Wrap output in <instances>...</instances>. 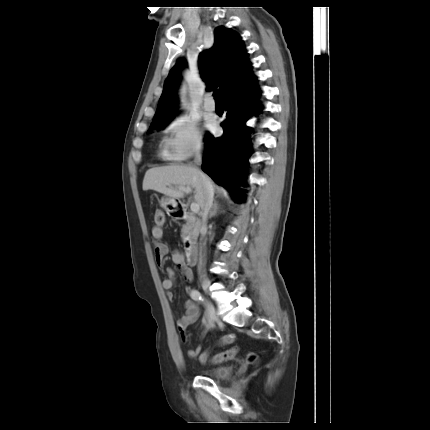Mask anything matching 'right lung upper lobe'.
<instances>
[{
  "instance_id": "cb5924a9",
  "label": "right lung upper lobe",
  "mask_w": 430,
  "mask_h": 430,
  "mask_svg": "<svg viewBox=\"0 0 430 430\" xmlns=\"http://www.w3.org/2000/svg\"><path fill=\"white\" fill-rule=\"evenodd\" d=\"M214 37V45L200 54L198 65L202 79L209 82L207 90L219 86L225 97L232 88L252 76L251 63L247 60V52L239 35L225 28H217ZM179 64L180 62L170 70L164 82L163 93L151 125L170 119L176 109Z\"/></svg>"
}]
</instances>
